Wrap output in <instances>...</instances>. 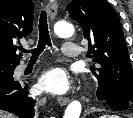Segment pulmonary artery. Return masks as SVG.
Here are the masks:
<instances>
[{
  "instance_id": "e3ab8cb5",
  "label": "pulmonary artery",
  "mask_w": 133,
  "mask_h": 118,
  "mask_svg": "<svg viewBox=\"0 0 133 118\" xmlns=\"http://www.w3.org/2000/svg\"><path fill=\"white\" fill-rule=\"evenodd\" d=\"M63 55L67 58H76L80 55V48L72 42H65L62 46ZM27 67V63L21 62L17 68L16 73H21Z\"/></svg>"
}]
</instances>
